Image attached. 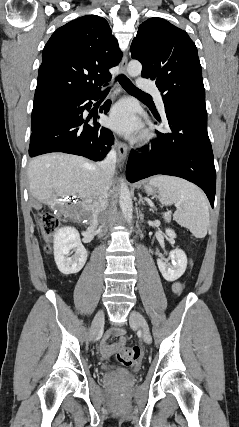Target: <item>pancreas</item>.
<instances>
[{"label":"pancreas","instance_id":"obj_1","mask_svg":"<svg viewBox=\"0 0 239 427\" xmlns=\"http://www.w3.org/2000/svg\"><path fill=\"white\" fill-rule=\"evenodd\" d=\"M164 219H165L166 222H170L171 216L170 215H166V216H164Z\"/></svg>","mask_w":239,"mask_h":427}]
</instances>
